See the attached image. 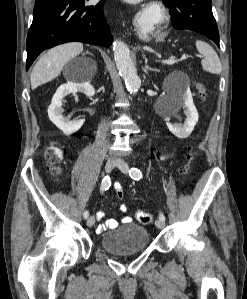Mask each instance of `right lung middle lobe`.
Returning <instances> with one entry per match:
<instances>
[{"label": "right lung middle lobe", "instance_id": "dd1d6c3e", "mask_svg": "<svg viewBox=\"0 0 247 299\" xmlns=\"http://www.w3.org/2000/svg\"><path fill=\"white\" fill-rule=\"evenodd\" d=\"M43 1H45V0H36L35 4L43 2Z\"/></svg>", "mask_w": 247, "mask_h": 299}]
</instances>
